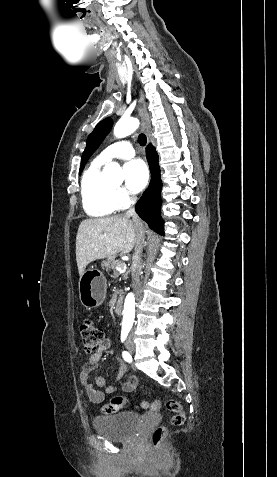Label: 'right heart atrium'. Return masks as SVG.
<instances>
[{"label":"right heart atrium","mask_w":277,"mask_h":477,"mask_svg":"<svg viewBox=\"0 0 277 477\" xmlns=\"http://www.w3.org/2000/svg\"><path fill=\"white\" fill-rule=\"evenodd\" d=\"M114 196L118 208H123L127 206L132 200L131 196L121 188H116L114 190Z\"/></svg>","instance_id":"d8ad5b80"}]
</instances>
